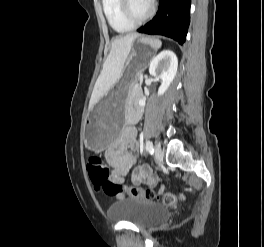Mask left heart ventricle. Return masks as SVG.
Instances as JSON below:
<instances>
[{"mask_svg":"<svg viewBox=\"0 0 264 247\" xmlns=\"http://www.w3.org/2000/svg\"><path fill=\"white\" fill-rule=\"evenodd\" d=\"M131 10L137 17H141L147 13L150 2L147 0H130Z\"/></svg>","mask_w":264,"mask_h":247,"instance_id":"left-heart-ventricle-1","label":"left heart ventricle"}]
</instances>
